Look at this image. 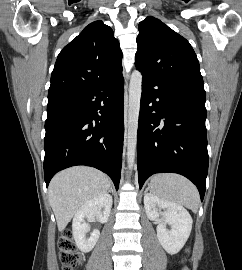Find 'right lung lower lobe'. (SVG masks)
<instances>
[{
    "instance_id": "obj_1",
    "label": "right lung lower lobe",
    "mask_w": 242,
    "mask_h": 270,
    "mask_svg": "<svg viewBox=\"0 0 242 270\" xmlns=\"http://www.w3.org/2000/svg\"><path fill=\"white\" fill-rule=\"evenodd\" d=\"M122 72L47 105L44 138L46 186L60 170L75 165L108 174L118 189L124 136Z\"/></svg>"
}]
</instances>
